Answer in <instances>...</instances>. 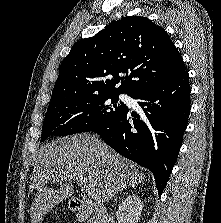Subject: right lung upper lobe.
Here are the masks:
<instances>
[{
  "label": "right lung upper lobe",
  "instance_id": "obj_1",
  "mask_svg": "<svg viewBox=\"0 0 221 223\" xmlns=\"http://www.w3.org/2000/svg\"><path fill=\"white\" fill-rule=\"evenodd\" d=\"M185 70L162 27L145 17L129 16L73 45L60 66L51 102L83 94L130 95L174 80ZM119 73H126V79Z\"/></svg>",
  "mask_w": 221,
  "mask_h": 223
}]
</instances>
